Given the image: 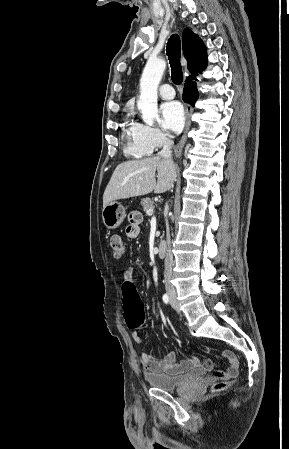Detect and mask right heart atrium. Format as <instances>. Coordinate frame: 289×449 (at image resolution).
<instances>
[{"mask_svg": "<svg viewBox=\"0 0 289 449\" xmlns=\"http://www.w3.org/2000/svg\"><path fill=\"white\" fill-rule=\"evenodd\" d=\"M139 139L153 151L167 143V136L157 127L138 123Z\"/></svg>", "mask_w": 289, "mask_h": 449, "instance_id": "1", "label": "right heart atrium"}]
</instances>
